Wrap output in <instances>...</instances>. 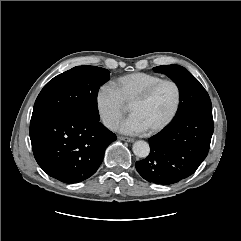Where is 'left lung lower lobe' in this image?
Listing matches in <instances>:
<instances>
[{
  "mask_svg": "<svg viewBox=\"0 0 241 241\" xmlns=\"http://www.w3.org/2000/svg\"><path fill=\"white\" fill-rule=\"evenodd\" d=\"M214 131L212 110L167 125L149 138L150 154L136 162L147 181L169 185L192 175L206 158Z\"/></svg>",
  "mask_w": 241,
  "mask_h": 241,
  "instance_id": "left-lung-lower-lobe-1",
  "label": "left lung lower lobe"
}]
</instances>
